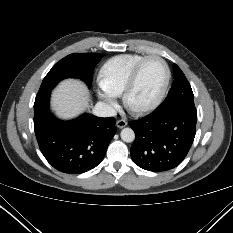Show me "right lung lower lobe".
Masks as SVG:
<instances>
[{
	"label": "right lung lower lobe",
	"instance_id": "98d812e1",
	"mask_svg": "<svg viewBox=\"0 0 233 233\" xmlns=\"http://www.w3.org/2000/svg\"><path fill=\"white\" fill-rule=\"evenodd\" d=\"M49 98L50 93L34 103V130L42 154L64 173L80 174L95 168L116 133L115 119L83 114L64 122L50 112Z\"/></svg>",
	"mask_w": 233,
	"mask_h": 233
}]
</instances>
